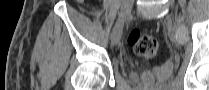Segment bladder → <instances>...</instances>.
<instances>
[{
	"label": "bladder",
	"mask_w": 209,
	"mask_h": 90,
	"mask_svg": "<svg viewBox=\"0 0 209 90\" xmlns=\"http://www.w3.org/2000/svg\"><path fill=\"white\" fill-rule=\"evenodd\" d=\"M140 81L143 87H155L156 86V77L152 70H144L140 74Z\"/></svg>",
	"instance_id": "1"
}]
</instances>
